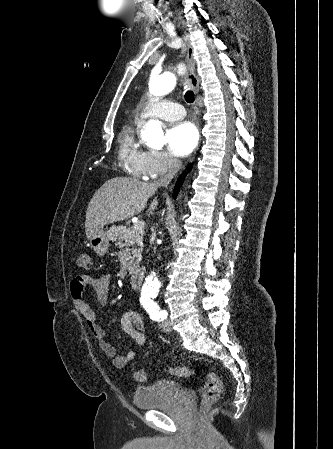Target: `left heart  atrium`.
Instances as JSON below:
<instances>
[{
    "label": "left heart atrium",
    "mask_w": 333,
    "mask_h": 449,
    "mask_svg": "<svg viewBox=\"0 0 333 449\" xmlns=\"http://www.w3.org/2000/svg\"><path fill=\"white\" fill-rule=\"evenodd\" d=\"M171 153L177 157H185L196 147L199 134L191 122H180L171 127L166 135Z\"/></svg>",
    "instance_id": "obj_1"
}]
</instances>
